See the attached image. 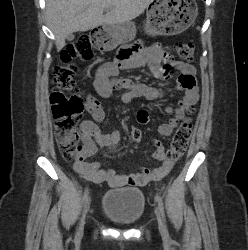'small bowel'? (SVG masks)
<instances>
[{
    "label": "small bowel",
    "mask_w": 248,
    "mask_h": 250,
    "mask_svg": "<svg viewBox=\"0 0 248 250\" xmlns=\"http://www.w3.org/2000/svg\"><path fill=\"white\" fill-rule=\"evenodd\" d=\"M146 66L154 77L168 81L171 78V71L180 72L177 79V88L184 92L175 108H167L171 114L168 122L160 125L159 134L164 137L171 136L173 130L178 126L184 116L187 107L198 101V88L195 79L194 67L182 61H176L159 44L144 45L138 42L129 48V56L119 62L102 64L94 78L95 91L104 98L110 97L114 90H126L122 99L128 102L134 98L146 100H157L163 97L162 89L142 83H136L130 79L118 78L120 69H133ZM86 108L92 115L93 120L85 119L80 124V139L82 146L78 159L74 163V170L90 182L99 184L107 182L111 187L124 185L143 186L151 181H158L166 177L173 167L165 155V149L159 140H154L156 150L154 158L160 162L156 168H140V171L133 174H117L113 169H101L98 162H87L88 157L97 153L98 148H109L115 150L120 143V133L115 130L102 132L99 123L106 118L105 111L101 104L92 95L87 96ZM140 124L149 122V113L146 109H140L136 115ZM132 140V134H131Z\"/></svg>",
    "instance_id": "1"
}]
</instances>
